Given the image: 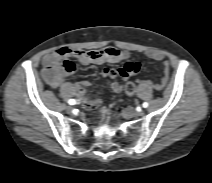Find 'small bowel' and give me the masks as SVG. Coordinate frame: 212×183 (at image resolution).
<instances>
[{
    "label": "small bowel",
    "instance_id": "1",
    "mask_svg": "<svg viewBox=\"0 0 212 183\" xmlns=\"http://www.w3.org/2000/svg\"><path fill=\"white\" fill-rule=\"evenodd\" d=\"M147 57L155 61H164L165 56L159 51H148ZM130 54L127 51H123L114 47H106L100 50L92 51H81L72 50L69 48H61L52 53L47 54L43 59L44 69L43 77L45 81L52 87L57 88L62 81L69 75L70 72L60 71L61 66L68 58H75L80 65L88 64H104V63H118L123 60H127ZM141 70V64L138 62H127L121 67L117 68H104L102 75L104 77H109L116 79L117 77H122L127 79L131 75H134ZM169 78V67L165 62L163 67V78L162 83L159 88L164 86ZM77 89L80 94L85 93V89L90 86L89 81H82L78 83ZM112 88L114 91L119 92L122 86L119 82L114 81L112 83Z\"/></svg>",
    "mask_w": 212,
    "mask_h": 183
}]
</instances>
